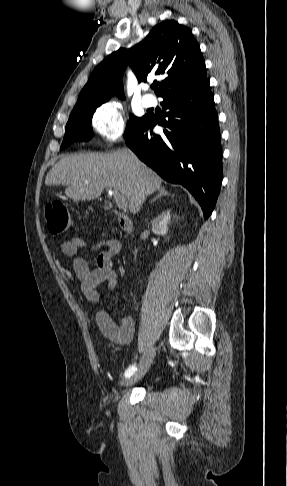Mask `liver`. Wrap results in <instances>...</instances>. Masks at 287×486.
Here are the masks:
<instances>
[{
	"instance_id": "obj_1",
	"label": "liver",
	"mask_w": 287,
	"mask_h": 486,
	"mask_svg": "<svg viewBox=\"0 0 287 486\" xmlns=\"http://www.w3.org/2000/svg\"><path fill=\"white\" fill-rule=\"evenodd\" d=\"M161 183L162 179L129 150L65 156L45 180L48 186H66L65 195L76 201L96 199L105 188L117 191L128 199L133 214Z\"/></svg>"
}]
</instances>
